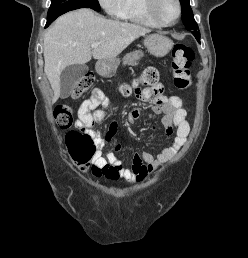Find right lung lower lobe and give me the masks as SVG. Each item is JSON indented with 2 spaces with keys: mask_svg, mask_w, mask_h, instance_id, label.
Wrapping results in <instances>:
<instances>
[{
  "mask_svg": "<svg viewBox=\"0 0 248 258\" xmlns=\"http://www.w3.org/2000/svg\"><path fill=\"white\" fill-rule=\"evenodd\" d=\"M54 20H50V21H47L46 23V26L45 27H48Z\"/></svg>",
  "mask_w": 248,
  "mask_h": 258,
  "instance_id": "98d812e1",
  "label": "right lung lower lobe"
}]
</instances>
